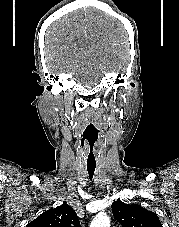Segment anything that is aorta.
<instances>
[{"label":"aorta","mask_w":179,"mask_h":227,"mask_svg":"<svg viewBox=\"0 0 179 227\" xmlns=\"http://www.w3.org/2000/svg\"><path fill=\"white\" fill-rule=\"evenodd\" d=\"M90 227H110V218L106 213H98L92 220Z\"/></svg>","instance_id":"obj_1"}]
</instances>
